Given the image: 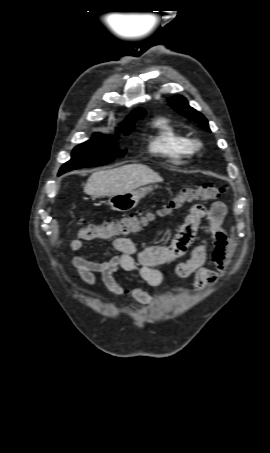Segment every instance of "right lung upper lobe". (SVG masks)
Wrapping results in <instances>:
<instances>
[{
  "label": "right lung upper lobe",
  "mask_w": 270,
  "mask_h": 453,
  "mask_svg": "<svg viewBox=\"0 0 270 453\" xmlns=\"http://www.w3.org/2000/svg\"><path fill=\"white\" fill-rule=\"evenodd\" d=\"M145 114H146V112L143 109H137V110L133 111V113L125 120V122L123 123L122 126L126 129V128L134 125V122L137 119L144 117Z\"/></svg>",
  "instance_id": "1"
}]
</instances>
